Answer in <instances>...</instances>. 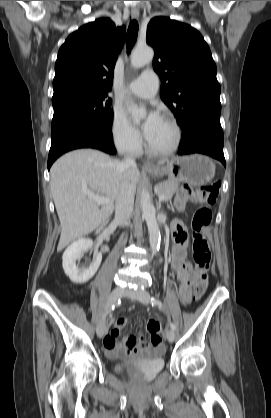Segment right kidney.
<instances>
[{
	"label": "right kidney",
	"instance_id": "right-kidney-1",
	"mask_svg": "<svg viewBox=\"0 0 271 418\" xmlns=\"http://www.w3.org/2000/svg\"><path fill=\"white\" fill-rule=\"evenodd\" d=\"M93 242L90 239L79 238L71 243L64 251L63 269L70 280L77 284H82L89 281L97 272L101 261L102 254L97 253L93 263L87 268H78L76 261L80 259L83 252L92 248Z\"/></svg>",
	"mask_w": 271,
	"mask_h": 418
}]
</instances>
